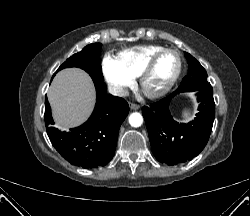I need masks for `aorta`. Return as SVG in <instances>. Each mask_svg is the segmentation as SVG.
I'll use <instances>...</instances> for the list:
<instances>
[{"label":"aorta","mask_w":250,"mask_h":216,"mask_svg":"<svg viewBox=\"0 0 250 216\" xmlns=\"http://www.w3.org/2000/svg\"><path fill=\"white\" fill-rule=\"evenodd\" d=\"M143 123V117L140 113L134 112L129 116V124L132 127H140Z\"/></svg>","instance_id":"1"}]
</instances>
